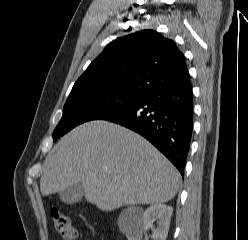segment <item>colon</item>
I'll use <instances>...</instances> for the list:
<instances>
[{
  "instance_id": "5ec220e1",
  "label": "colon",
  "mask_w": 248,
  "mask_h": 240,
  "mask_svg": "<svg viewBox=\"0 0 248 240\" xmlns=\"http://www.w3.org/2000/svg\"><path fill=\"white\" fill-rule=\"evenodd\" d=\"M49 213L55 229L64 240H75L77 238V231L71 220L57 206H51Z\"/></svg>"
}]
</instances>
